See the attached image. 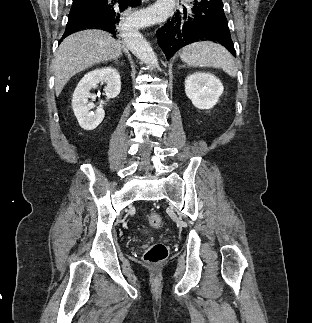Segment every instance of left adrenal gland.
<instances>
[{
    "label": "left adrenal gland",
    "instance_id": "1",
    "mask_svg": "<svg viewBox=\"0 0 312 323\" xmlns=\"http://www.w3.org/2000/svg\"><path fill=\"white\" fill-rule=\"evenodd\" d=\"M179 68H183V66H179Z\"/></svg>",
    "mask_w": 312,
    "mask_h": 323
}]
</instances>
